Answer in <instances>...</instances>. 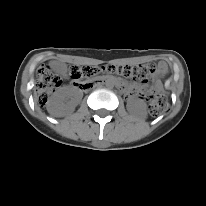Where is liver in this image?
Returning <instances> with one entry per match:
<instances>
[{
  "instance_id": "obj_1",
  "label": "liver",
  "mask_w": 206,
  "mask_h": 206,
  "mask_svg": "<svg viewBox=\"0 0 206 206\" xmlns=\"http://www.w3.org/2000/svg\"><path fill=\"white\" fill-rule=\"evenodd\" d=\"M49 112H50L51 115L54 116V117H63V116H65V114H66V113L63 112V111H62V112H55V111H52V110H50V109H49Z\"/></svg>"
}]
</instances>
